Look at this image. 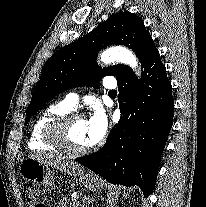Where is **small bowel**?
<instances>
[{"label":"small bowel","mask_w":206,"mask_h":207,"mask_svg":"<svg viewBox=\"0 0 206 207\" xmlns=\"http://www.w3.org/2000/svg\"><path fill=\"white\" fill-rule=\"evenodd\" d=\"M54 207H66V202L65 201H59L55 204Z\"/></svg>","instance_id":"obj_1"}]
</instances>
